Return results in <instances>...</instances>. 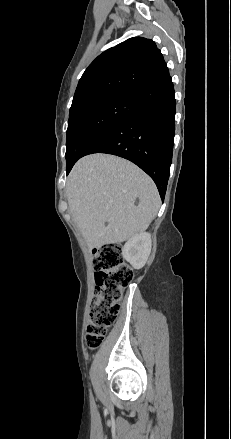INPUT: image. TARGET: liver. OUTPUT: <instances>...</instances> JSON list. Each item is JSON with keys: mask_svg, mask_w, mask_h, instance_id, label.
Instances as JSON below:
<instances>
[{"mask_svg": "<svg viewBox=\"0 0 231 439\" xmlns=\"http://www.w3.org/2000/svg\"><path fill=\"white\" fill-rule=\"evenodd\" d=\"M66 195L89 248L121 243L144 232L161 203L148 175L133 163L108 154L81 158L68 177Z\"/></svg>", "mask_w": 231, "mask_h": 439, "instance_id": "liver-1", "label": "liver"}]
</instances>
